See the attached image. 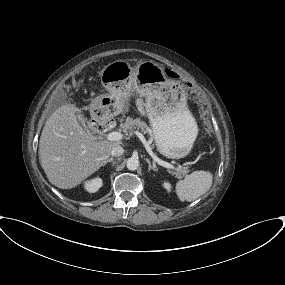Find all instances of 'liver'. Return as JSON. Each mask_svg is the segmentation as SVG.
<instances>
[{
  "label": "liver",
  "instance_id": "1",
  "mask_svg": "<svg viewBox=\"0 0 285 285\" xmlns=\"http://www.w3.org/2000/svg\"><path fill=\"white\" fill-rule=\"evenodd\" d=\"M95 100L83 109H90L91 113L96 106ZM78 110L73 104L56 109L45 123L40 137V164L49 182L60 189H72L81 184L104 166L113 147L120 145L119 142L94 141L79 125Z\"/></svg>",
  "mask_w": 285,
  "mask_h": 285
}]
</instances>
